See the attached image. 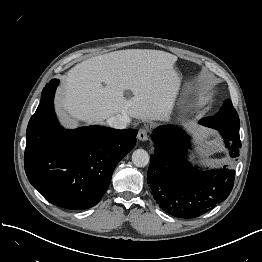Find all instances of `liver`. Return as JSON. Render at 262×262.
Listing matches in <instances>:
<instances>
[{
	"instance_id": "1",
	"label": "liver",
	"mask_w": 262,
	"mask_h": 262,
	"mask_svg": "<svg viewBox=\"0 0 262 262\" xmlns=\"http://www.w3.org/2000/svg\"><path fill=\"white\" fill-rule=\"evenodd\" d=\"M177 56L149 49H127L87 59L64 79L57 107L67 124L101 123L114 115L163 120L180 85ZM131 96L126 97L125 92Z\"/></svg>"
}]
</instances>
